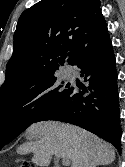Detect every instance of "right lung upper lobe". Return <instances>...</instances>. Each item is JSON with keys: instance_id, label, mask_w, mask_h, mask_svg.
I'll list each match as a JSON object with an SVG mask.
<instances>
[{"instance_id": "right-lung-upper-lobe-1", "label": "right lung upper lobe", "mask_w": 125, "mask_h": 167, "mask_svg": "<svg viewBox=\"0 0 125 167\" xmlns=\"http://www.w3.org/2000/svg\"><path fill=\"white\" fill-rule=\"evenodd\" d=\"M106 28L100 0H41L25 10L14 33L0 100L54 77L66 57L76 65L81 51Z\"/></svg>"}]
</instances>
